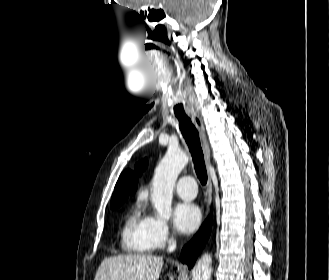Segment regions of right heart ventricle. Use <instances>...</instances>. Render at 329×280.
Returning a JSON list of instances; mask_svg holds the SVG:
<instances>
[{
	"label": "right heart ventricle",
	"mask_w": 329,
	"mask_h": 280,
	"mask_svg": "<svg viewBox=\"0 0 329 280\" xmlns=\"http://www.w3.org/2000/svg\"><path fill=\"white\" fill-rule=\"evenodd\" d=\"M151 216L144 213L142 201L131 208L122 230V248L130 253H149L154 248L150 237Z\"/></svg>",
	"instance_id": "e07e8e85"
}]
</instances>
